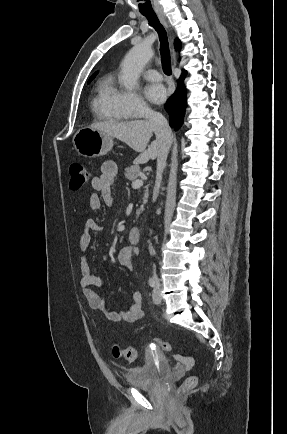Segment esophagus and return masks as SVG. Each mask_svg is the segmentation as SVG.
Here are the masks:
<instances>
[{
    "mask_svg": "<svg viewBox=\"0 0 287 434\" xmlns=\"http://www.w3.org/2000/svg\"><path fill=\"white\" fill-rule=\"evenodd\" d=\"M158 17L162 21V23L165 25V27H167V23H166V21L164 19L163 14L162 13H158ZM172 58H173V61H175V52L174 51H172Z\"/></svg>",
    "mask_w": 287,
    "mask_h": 434,
    "instance_id": "esophagus-1",
    "label": "esophagus"
}]
</instances>
